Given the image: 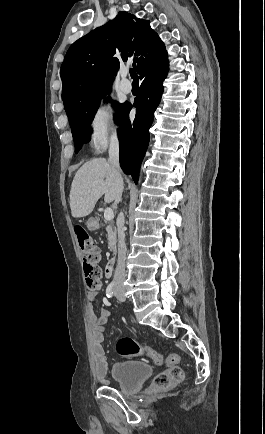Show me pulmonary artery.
<instances>
[{"mask_svg": "<svg viewBox=\"0 0 265 434\" xmlns=\"http://www.w3.org/2000/svg\"><path fill=\"white\" fill-rule=\"evenodd\" d=\"M128 77H129V74L128 73H124L123 80H127ZM119 86H120V90L123 93L128 94V93L131 92V89H132L133 85H132L131 81H121Z\"/></svg>", "mask_w": 265, "mask_h": 434, "instance_id": "1", "label": "pulmonary artery"}]
</instances>
